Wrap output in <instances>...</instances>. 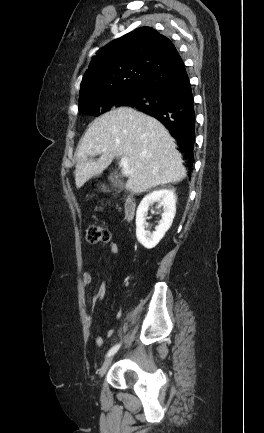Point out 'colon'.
<instances>
[{
	"label": "colon",
	"instance_id": "1",
	"mask_svg": "<svg viewBox=\"0 0 264 433\" xmlns=\"http://www.w3.org/2000/svg\"><path fill=\"white\" fill-rule=\"evenodd\" d=\"M123 193H119L122 196ZM89 244H107L110 241L109 231L100 225H91L88 227L85 236Z\"/></svg>",
	"mask_w": 264,
	"mask_h": 433
}]
</instances>
